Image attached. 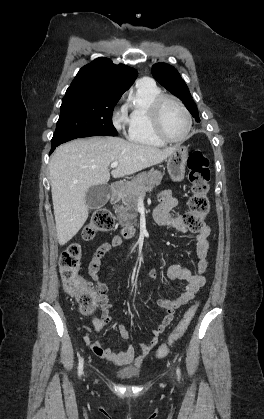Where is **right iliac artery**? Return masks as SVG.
Returning a JSON list of instances; mask_svg holds the SVG:
<instances>
[{
    "label": "right iliac artery",
    "mask_w": 264,
    "mask_h": 419,
    "mask_svg": "<svg viewBox=\"0 0 264 419\" xmlns=\"http://www.w3.org/2000/svg\"><path fill=\"white\" fill-rule=\"evenodd\" d=\"M83 372V358L79 359V364H78V375L80 376Z\"/></svg>",
    "instance_id": "obj_1"
}]
</instances>
